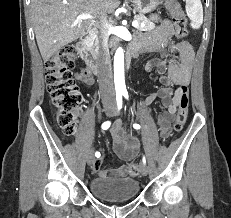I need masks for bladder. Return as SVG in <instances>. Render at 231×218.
<instances>
[{
    "mask_svg": "<svg viewBox=\"0 0 231 218\" xmlns=\"http://www.w3.org/2000/svg\"><path fill=\"white\" fill-rule=\"evenodd\" d=\"M90 190L94 196L101 200L124 202L136 197L139 183L126 176H97L91 180Z\"/></svg>",
    "mask_w": 231,
    "mask_h": 218,
    "instance_id": "obj_1",
    "label": "bladder"
}]
</instances>
